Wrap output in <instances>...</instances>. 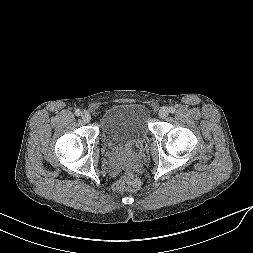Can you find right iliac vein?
<instances>
[{"mask_svg": "<svg viewBox=\"0 0 253 253\" xmlns=\"http://www.w3.org/2000/svg\"><path fill=\"white\" fill-rule=\"evenodd\" d=\"M81 118L84 122L88 123L91 120V115L89 114V112L84 111L81 114Z\"/></svg>", "mask_w": 253, "mask_h": 253, "instance_id": "1", "label": "right iliac vein"}]
</instances>
